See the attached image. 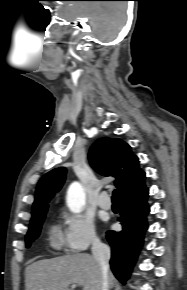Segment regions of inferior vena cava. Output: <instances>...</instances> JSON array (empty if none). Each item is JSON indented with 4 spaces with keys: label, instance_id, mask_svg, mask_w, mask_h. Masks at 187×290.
<instances>
[{
    "label": "inferior vena cava",
    "instance_id": "inferior-vena-cava-1",
    "mask_svg": "<svg viewBox=\"0 0 187 290\" xmlns=\"http://www.w3.org/2000/svg\"><path fill=\"white\" fill-rule=\"evenodd\" d=\"M92 254L101 271V290H108L110 248L96 238L92 243Z\"/></svg>",
    "mask_w": 187,
    "mask_h": 290
}]
</instances>
